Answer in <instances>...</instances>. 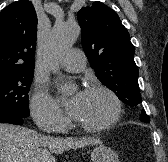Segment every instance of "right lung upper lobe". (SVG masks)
<instances>
[{
  "instance_id": "obj_1",
  "label": "right lung upper lobe",
  "mask_w": 168,
  "mask_h": 162,
  "mask_svg": "<svg viewBox=\"0 0 168 162\" xmlns=\"http://www.w3.org/2000/svg\"><path fill=\"white\" fill-rule=\"evenodd\" d=\"M36 34L31 2L17 1L0 12V77L34 71Z\"/></svg>"
}]
</instances>
